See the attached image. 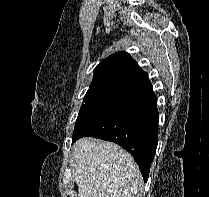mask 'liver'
I'll return each mask as SVG.
<instances>
[{
    "label": "liver",
    "mask_w": 209,
    "mask_h": 197,
    "mask_svg": "<svg viewBox=\"0 0 209 197\" xmlns=\"http://www.w3.org/2000/svg\"><path fill=\"white\" fill-rule=\"evenodd\" d=\"M79 197H139L143 180L133 157L115 143L82 138L73 146Z\"/></svg>",
    "instance_id": "liver-1"
}]
</instances>
